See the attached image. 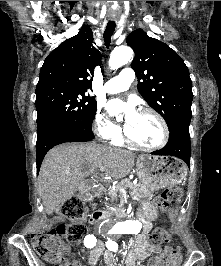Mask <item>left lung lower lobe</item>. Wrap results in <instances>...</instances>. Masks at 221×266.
<instances>
[{"label":"left lung lower lobe","mask_w":221,"mask_h":266,"mask_svg":"<svg viewBox=\"0 0 221 266\" xmlns=\"http://www.w3.org/2000/svg\"><path fill=\"white\" fill-rule=\"evenodd\" d=\"M159 156H173L182 159L190 167L191 143L189 126H178L170 130L166 146L152 152Z\"/></svg>","instance_id":"0a47b994"}]
</instances>
